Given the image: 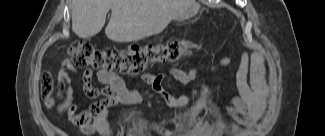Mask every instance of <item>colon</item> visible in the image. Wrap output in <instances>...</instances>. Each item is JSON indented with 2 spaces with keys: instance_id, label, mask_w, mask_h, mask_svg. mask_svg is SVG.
Wrapping results in <instances>:
<instances>
[{
  "instance_id": "1",
  "label": "colon",
  "mask_w": 325,
  "mask_h": 136,
  "mask_svg": "<svg viewBox=\"0 0 325 136\" xmlns=\"http://www.w3.org/2000/svg\"><path fill=\"white\" fill-rule=\"evenodd\" d=\"M190 50L179 42L150 45H132L124 49H96L89 42H81L69 49L74 65L89 66L98 71L137 74L156 64L176 61L187 56ZM41 94L47 107L55 105L54 83L48 73L41 77Z\"/></svg>"
}]
</instances>
